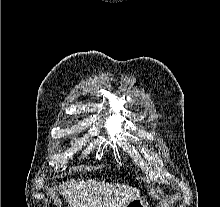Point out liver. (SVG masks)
I'll list each match as a JSON object with an SVG mask.
<instances>
[{"label": "liver", "mask_w": 220, "mask_h": 207, "mask_svg": "<svg viewBox=\"0 0 220 207\" xmlns=\"http://www.w3.org/2000/svg\"><path fill=\"white\" fill-rule=\"evenodd\" d=\"M61 194L69 207H126L140 191L124 184L71 179L62 184Z\"/></svg>", "instance_id": "1"}]
</instances>
